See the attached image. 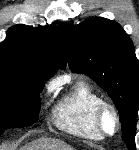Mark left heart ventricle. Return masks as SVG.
<instances>
[{
	"mask_svg": "<svg viewBox=\"0 0 139 150\" xmlns=\"http://www.w3.org/2000/svg\"><path fill=\"white\" fill-rule=\"evenodd\" d=\"M103 127L105 131L109 134H112L116 128L115 118L110 111H106L103 116Z\"/></svg>",
	"mask_w": 139,
	"mask_h": 150,
	"instance_id": "left-heart-ventricle-1",
	"label": "left heart ventricle"
}]
</instances>
